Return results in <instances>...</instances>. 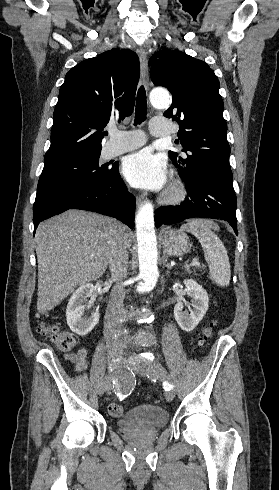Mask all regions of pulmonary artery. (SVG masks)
Instances as JSON below:
<instances>
[{
	"label": "pulmonary artery",
	"mask_w": 279,
	"mask_h": 490,
	"mask_svg": "<svg viewBox=\"0 0 279 490\" xmlns=\"http://www.w3.org/2000/svg\"><path fill=\"white\" fill-rule=\"evenodd\" d=\"M151 123L155 128H151V132L156 136H163L176 129V125L170 124L166 117H153ZM127 134L131 135L132 131H127L125 128H112V145H107L104 148V155L106 158L119 156L137 149L145 143L144 137H125Z\"/></svg>",
	"instance_id": "e3ab8cb5"
}]
</instances>
